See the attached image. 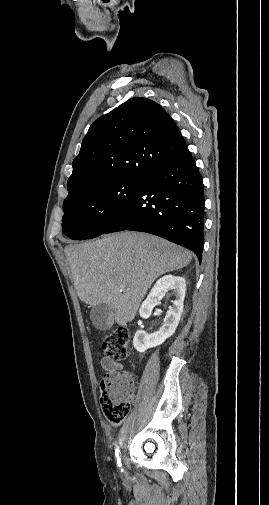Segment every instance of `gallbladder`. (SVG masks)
<instances>
[{"label": "gallbladder", "mask_w": 269, "mask_h": 505, "mask_svg": "<svg viewBox=\"0 0 269 505\" xmlns=\"http://www.w3.org/2000/svg\"><path fill=\"white\" fill-rule=\"evenodd\" d=\"M113 313L114 309L109 304L100 303L94 305L90 312V319L93 326L101 331L109 330L114 322Z\"/></svg>", "instance_id": "1"}]
</instances>
